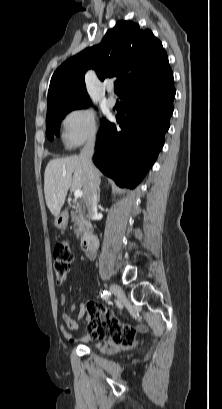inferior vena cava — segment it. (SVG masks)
<instances>
[{"mask_svg": "<svg viewBox=\"0 0 222 409\" xmlns=\"http://www.w3.org/2000/svg\"><path fill=\"white\" fill-rule=\"evenodd\" d=\"M94 147L95 141L88 142L79 155L85 172L84 201L90 219L95 218L98 203L99 173L92 162Z\"/></svg>", "mask_w": 222, "mask_h": 409, "instance_id": "602c4592", "label": "inferior vena cava"}]
</instances>
